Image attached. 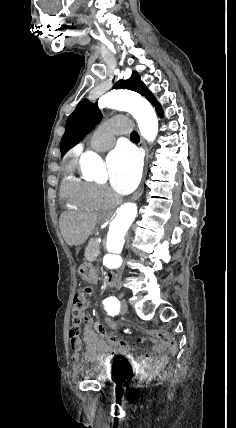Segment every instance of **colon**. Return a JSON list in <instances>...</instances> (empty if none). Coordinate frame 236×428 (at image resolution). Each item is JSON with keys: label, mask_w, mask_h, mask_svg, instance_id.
Returning <instances> with one entry per match:
<instances>
[{"label": "colon", "mask_w": 236, "mask_h": 428, "mask_svg": "<svg viewBox=\"0 0 236 428\" xmlns=\"http://www.w3.org/2000/svg\"><path fill=\"white\" fill-rule=\"evenodd\" d=\"M91 294V289L87 286L81 287L75 294L72 309V325L69 335L72 338L78 336L81 326L83 325L86 315L85 312L88 308V297ZM105 324L111 328L123 326L122 323L116 322L111 319H105ZM134 328L141 330L158 340L161 344L166 346L172 356L178 353V345L176 340L167 332L162 330L146 329L140 325H131ZM166 373L161 374L159 377L164 378Z\"/></svg>", "instance_id": "5ec220e1"}]
</instances>
